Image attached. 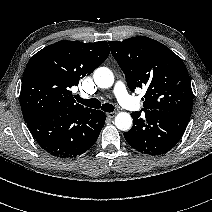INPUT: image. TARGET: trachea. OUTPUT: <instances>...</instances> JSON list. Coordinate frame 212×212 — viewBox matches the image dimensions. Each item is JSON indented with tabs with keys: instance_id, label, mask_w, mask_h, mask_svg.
<instances>
[{
	"instance_id": "1",
	"label": "trachea",
	"mask_w": 212,
	"mask_h": 212,
	"mask_svg": "<svg viewBox=\"0 0 212 212\" xmlns=\"http://www.w3.org/2000/svg\"><path fill=\"white\" fill-rule=\"evenodd\" d=\"M76 99L79 103L90 107V108H101L105 112H113L114 106L112 104H101V102L98 99L92 98V99H83L80 96H76Z\"/></svg>"
}]
</instances>
